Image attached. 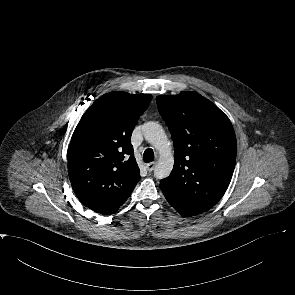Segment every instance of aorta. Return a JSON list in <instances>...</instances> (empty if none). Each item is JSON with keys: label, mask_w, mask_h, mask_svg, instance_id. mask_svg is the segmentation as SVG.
<instances>
[{"label": "aorta", "mask_w": 295, "mask_h": 295, "mask_svg": "<svg viewBox=\"0 0 295 295\" xmlns=\"http://www.w3.org/2000/svg\"><path fill=\"white\" fill-rule=\"evenodd\" d=\"M142 132L146 141L159 152V159L154 168L155 178L164 179L168 177L173 169L174 157L164 129L158 122L150 121L143 124Z\"/></svg>", "instance_id": "aorta-1"}]
</instances>
